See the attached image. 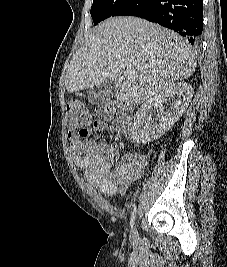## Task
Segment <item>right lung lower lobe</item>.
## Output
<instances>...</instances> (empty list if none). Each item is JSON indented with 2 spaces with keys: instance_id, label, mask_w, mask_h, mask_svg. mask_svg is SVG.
<instances>
[{
  "instance_id": "1",
  "label": "right lung lower lobe",
  "mask_w": 227,
  "mask_h": 267,
  "mask_svg": "<svg viewBox=\"0 0 227 267\" xmlns=\"http://www.w3.org/2000/svg\"><path fill=\"white\" fill-rule=\"evenodd\" d=\"M113 16H137L198 43L203 29V0H130Z\"/></svg>"
}]
</instances>
